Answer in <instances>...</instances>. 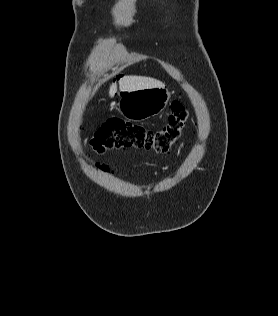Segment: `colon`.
Segmentation results:
<instances>
[{"label":"colon","mask_w":278,"mask_h":316,"mask_svg":"<svg viewBox=\"0 0 278 316\" xmlns=\"http://www.w3.org/2000/svg\"><path fill=\"white\" fill-rule=\"evenodd\" d=\"M187 119L188 111L179 101L172 103L167 123L159 130L109 117L99 124L91 139V145L97 153L119 148L166 153L181 138Z\"/></svg>","instance_id":"obj_1"}]
</instances>
